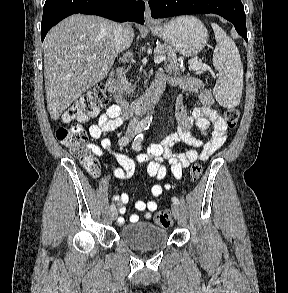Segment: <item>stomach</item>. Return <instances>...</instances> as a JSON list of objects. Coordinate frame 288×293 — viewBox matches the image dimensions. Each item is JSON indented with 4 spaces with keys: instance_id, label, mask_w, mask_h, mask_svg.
Listing matches in <instances>:
<instances>
[{
    "instance_id": "0dacf381",
    "label": "stomach",
    "mask_w": 288,
    "mask_h": 293,
    "mask_svg": "<svg viewBox=\"0 0 288 293\" xmlns=\"http://www.w3.org/2000/svg\"><path fill=\"white\" fill-rule=\"evenodd\" d=\"M150 30L184 56L197 55L208 42V31L196 17L181 16L149 26Z\"/></svg>"
}]
</instances>
